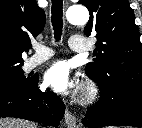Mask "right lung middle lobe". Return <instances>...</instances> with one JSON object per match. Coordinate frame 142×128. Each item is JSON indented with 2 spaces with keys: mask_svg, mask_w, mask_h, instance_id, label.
<instances>
[{
  "mask_svg": "<svg viewBox=\"0 0 142 128\" xmlns=\"http://www.w3.org/2000/svg\"><path fill=\"white\" fill-rule=\"evenodd\" d=\"M21 67L0 66V92L19 90L32 81L33 77H26Z\"/></svg>",
  "mask_w": 142,
  "mask_h": 128,
  "instance_id": "obj_1",
  "label": "right lung middle lobe"
}]
</instances>
